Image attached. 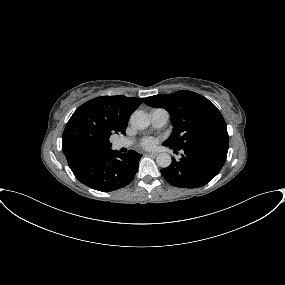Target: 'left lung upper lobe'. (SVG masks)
<instances>
[{
  "instance_id": "1",
  "label": "left lung upper lobe",
  "mask_w": 285,
  "mask_h": 285,
  "mask_svg": "<svg viewBox=\"0 0 285 285\" xmlns=\"http://www.w3.org/2000/svg\"><path fill=\"white\" fill-rule=\"evenodd\" d=\"M145 103L166 109L172 120L173 132L164 142L175 150L199 148L228 152V133L223 116L207 98L192 91L147 97Z\"/></svg>"
}]
</instances>
